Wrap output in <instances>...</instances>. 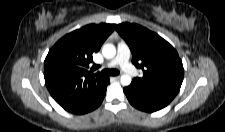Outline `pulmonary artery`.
Masks as SVG:
<instances>
[{
    "mask_svg": "<svg viewBox=\"0 0 225 132\" xmlns=\"http://www.w3.org/2000/svg\"><path fill=\"white\" fill-rule=\"evenodd\" d=\"M130 51L127 44L124 41H120L117 45V55L116 57L106 64V67H114L120 65L123 70L128 73L133 72V67L129 63Z\"/></svg>",
    "mask_w": 225,
    "mask_h": 132,
    "instance_id": "1",
    "label": "pulmonary artery"
}]
</instances>
